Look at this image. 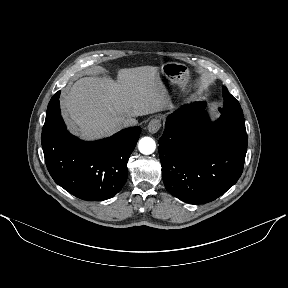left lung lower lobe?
<instances>
[{"instance_id": "0a47b994", "label": "left lung lower lobe", "mask_w": 288, "mask_h": 288, "mask_svg": "<svg viewBox=\"0 0 288 288\" xmlns=\"http://www.w3.org/2000/svg\"><path fill=\"white\" fill-rule=\"evenodd\" d=\"M205 102L182 107L159 140L166 189L190 204L211 202L240 178L247 150L245 121L221 113L211 122Z\"/></svg>"}]
</instances>
